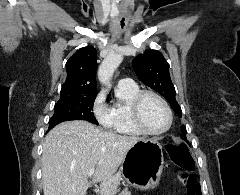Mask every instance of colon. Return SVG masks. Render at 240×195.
Wrapping results in <instances>:
<instances>
[{
	"instance_id": "5ec220e1",
	"label": "colon",
	"mask_w": 240,
	"mask_h": 195,
	"mask_svg": "<svg viewBox=\"0 0 240 195\" xmlns=\"http://www.w3.org/2000/svg\"><path fill=\"white\" fill-rule=\"evenodd\" d=\"M168 155L183 170L193 168L194 159L186 144L169 146ZM181 181L183 187L188 188L186 195H202L201 183L198 177L185 172L181 175Z\"/></svg>"
}]
</instances>
